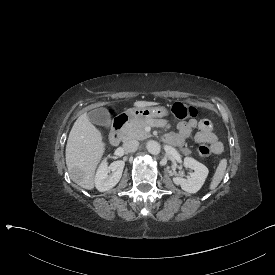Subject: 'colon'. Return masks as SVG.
I'll return each mask as SVG.
<instances>
[{
    "label": "colon",
    "mask_w": 275,
    "mask_h": 275,
    "mask_svg": "<svg viewBox=\"0 0 275 275\" xmlns=\"http://www.w3.org/2000/svg\"><path fill=\"white\" fill-rule=\"evenodd\" d=\"M172 113L178 119L194 118L196 116V109L192 105L184 104L182 102H175L172 105ZM199 156L208 158L211 156V148L207 144H201L197 148Z\"/></svg>",
    "instance_id": "1"
}]
</instances>
